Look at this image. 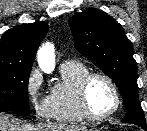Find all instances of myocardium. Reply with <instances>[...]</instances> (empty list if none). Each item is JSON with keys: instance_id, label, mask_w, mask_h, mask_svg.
I'll return each instance as SVG.
<instances>
[{"instance_id": "f54148a6", "label": "myocardium", "mask_w": 147, "mask_h": 131, "mask_svg": "<svg viewBox=\"0 0 147 131\" xmlns=\"http://www.w3.org/2000/svg\"><path fill=\"white\" fill-rule=\"evenodd\" d=\"M95 78L104 79L110 85L115 97V104L113 108L104 115L93 114L88 104V88L92 80ZM77 99H78L79 110L82 116L84 117L85 120L91 122H102L111 118L118 111L121 105V94L118 89V86L109 75L103 72H89L81 79L77 89Z\"/></svg>"}]
</instances>
